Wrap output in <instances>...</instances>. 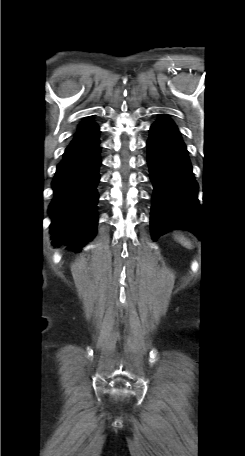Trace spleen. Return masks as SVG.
Masks as SVG:
<instances>
[{
    "instance_id": "1",
    "label": "spleen",
    "mask_w": 245,
    "mask_h": 456,
    "mask_svg": "<svg viewBox=\"0 0 245 456\" xmlns=\"http://www.w3.org/2000/svg\"><path fill=\"white\" fill-rule=\"evenodd\" d=\"M180 242L187 248H190L191 247V244L190 242H188L187 240H185L184 238H180Z\"/></svg>"
}]
</instances>
